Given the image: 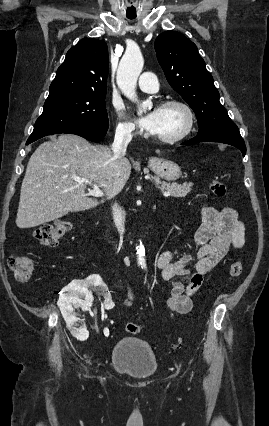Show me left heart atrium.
Segmentation results:
<instances>
[{
    "label": "left heart atrium",
    "instance_id": "left-heart-atrium-1",
    "mask_svg": "<svg viewBox=\"0 0 269 426\" xmlns=\"http://www.w3.org/2000/svg\"><path fill=\"white\" fill-rule=\"evenodd\" d=\"M158 109L156 108L138 119V124L141 128L147 131H151L154 128L158 118Z\"/></svg>",
    "mask_w": 269,
    "mask_h": 426
}]
</instances>
